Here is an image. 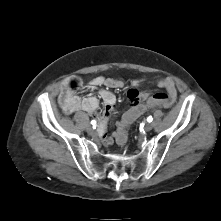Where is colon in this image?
I'll use <instances>...</instances> for the list:
<instances>
[{
    "mask_svg": "<svg viewBox=\"0 0 221 221\" xmlns=\"http://www.w3.org/2000/svg\"><path fill=\"white\" fill-rule=\"evenodd\" d=\"M81 85V82L78 79H73L68 82L67 86L72 91L78 89ZM141 99L143 103H137L134 106L128 108L124 111L120 117L119 123L117 124V133L115 137L116 145H124L127 142V135L130 132V126L133 125V122L142 116L145 113H148L154 108H165L170 105V98L166 97L163 93H157L154 95L142 96ZM62 106V104H61ZM63 108V106H62Z\"/></svg>",
    "mask_w": 221,
    "mask_h": 221,
    "instance_id": "obj_1",
    "label": "colon"
}]
</instances>
